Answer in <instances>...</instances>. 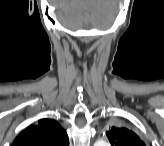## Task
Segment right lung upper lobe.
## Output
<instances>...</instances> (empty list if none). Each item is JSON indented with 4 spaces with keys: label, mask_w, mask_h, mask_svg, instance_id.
Here are the masks:
<instances>
[{
    "label": "right lung upper lobe",
    "mask_w": 164,
    "mask_h": 146,
    "mask_svg": "<svg viewBox=\"0 0 164 146\" xmlns=\"http://www.w3.org/2000/svg\"><path fill=\"white\" fill-rule=\"evenodd\" d=\"M12 146H69V140L56 121L42 119L22 131Z\"/></svg>",
    "instance_id": "cb5924a9"
}]
</instances>
